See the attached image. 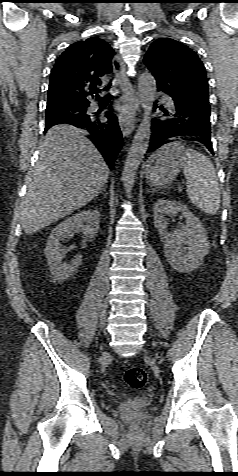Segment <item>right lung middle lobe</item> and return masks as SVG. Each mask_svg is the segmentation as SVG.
Returning a JSON list of instances; mask_svg holds the SVG:
<instances>
[{
	"instance_id": "1",
	"label": "right lung middle lobe",
	"mask_w": 238,
	"mask_h": 476,
	"mask_svg": "<svg viewBox=\"0 0 238 476\" xmlns=\"http://www.w3.org/2000/svg\"><path fill=\"white\" fill-rule=\"evenodd\" d=\"M87 107L74 105H47L46 123L50 125L67 123L75 117H85Z\"/></svg>"
}]
</instances>
